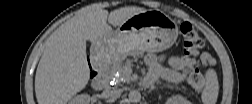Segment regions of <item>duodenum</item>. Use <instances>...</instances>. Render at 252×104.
<instances>
[{
  "label": "duodenum",
  "instance_id": "obj_1",
  "mask_svg": "<svg viewBox=\"0 0 252 104\" xmlns=\"http://www.w3.org/2000/svg\"><path fill=\"white\" fill-rule=\"evenodd\" d=\"M108 80L105 74H99L94 80H93V88L96 90H105L107 87Z\"/></svg>",
  "mask_w": 252,
  "mask_h": 104
}]
</instances>
